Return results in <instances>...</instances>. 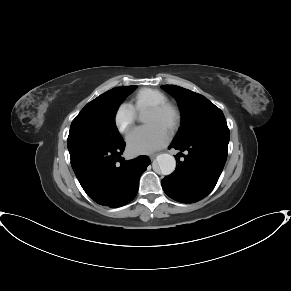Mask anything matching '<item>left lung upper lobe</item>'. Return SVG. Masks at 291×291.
I'll return each mask as SVG.
<instances>
[{
  "label": "left lung upper lobe",
  "instance_id": "left-lung-upper-lobe-1",
  "mask_svg": "<svg viewBox=\"0 0 291 291\" xmlns=\"http://www.w3.org/2000/svg\"><path fill=\"white\" fill-rule=\"evenodd\" d=\"M162 88L178 102L181 114V128L173 143L186 144L201 138L229 135L223 112L206 97L174 85Z\"/></svg>",
  "mask_w": 291,
  "mask_h": 291
}]
</instances>
